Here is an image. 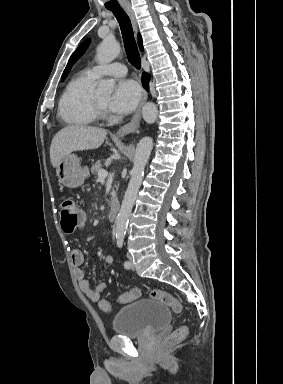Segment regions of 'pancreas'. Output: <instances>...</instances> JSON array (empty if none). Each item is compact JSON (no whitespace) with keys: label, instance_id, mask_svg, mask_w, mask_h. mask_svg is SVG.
<instances>
[{"label":"pancreas","instance_id":"1","mask_svg":"<svg viewBox=\"0 0 283 384\" xmlns=\"http://www.w3.org/2000/svg\"><path fill=\"white\" fill-rule=\"evenodd\" d=\"M100 170H103L101 162H95L91 168V172H94V174H98ZM112 194H115V192H112Z\"/></svg>","mask_w":283,"mask_h":384}]
</instances>
